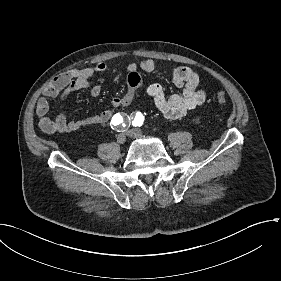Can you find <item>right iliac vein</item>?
<instances>
[{
    "instance_id": "1",
    "label": "right iliac vein",
    "mask_w": 281,
    "mask_h": 281,
    "mask_svg": "<svg viewBox=\"0 0 281 281\" xmlns=\"http://www.w3.org/2000/svg\"><path fill=\"white\" fill-rule=\"evenodd\" d=\"M117 142L119 144H124L126 142V136L124 133H121L117 136Z\"/></svg>"
}]
</instances>
